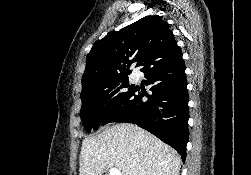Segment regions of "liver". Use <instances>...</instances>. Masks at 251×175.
Here are the masks:
<instances>
[{
  "mask_svg": "<svg viewBox=\"0 0 251 175\" xmlns=\"http://www.w3.org/2000/svg\"><path fill=\"white\" fill-rule=\"evenodd\" d=\"M80 175H102L116 167L123 175H179L177 151L132 123H116L96 137H85Z\"/></svg>",
  "mask_w": 251,
  "mask_h": 175,
  "instance_id": "1",
  "label": "liver"
}]
</instances>
